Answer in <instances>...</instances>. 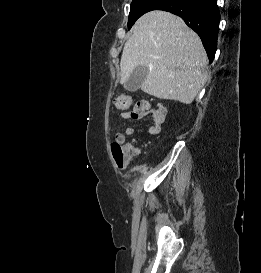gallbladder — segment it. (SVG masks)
Masks as SVG:
<instances>
[{
    "label": "gallbladder",
    "instance_id": "obj_1",
    "mask_svg": "<svg viewBox=\"0 0 261 273\" xmlns=\"http://www.w3.org/2000/svg\"><path fill=\"white\" fill-rule=\"evenodd\" d=\"M149 70L145 66H137L131 73L128 80L124 83V89L130 92L137 91L145 81Z\"/></svg>",
    "mask_w": 261,
    "mask_h": 273
}]
</instances>
